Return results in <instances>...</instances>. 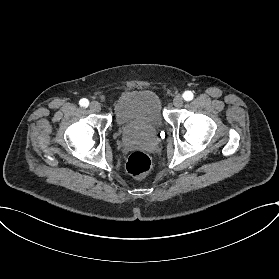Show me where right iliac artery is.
Returning <instances> with one entry per match:
<instances>
[{
  "label": "right iliac artery",
  "instance_id": "1",
  "mask_svg": "<svg viewBox=\"0 0 279 279\" xmlns=\"http://www.w3.org/2000/svg\"><path fill=\"white\" fill-rule=\"evenodd\" d=\"M80 106L87 107L89 105V101L86 98H83L79 101Z\"/></svg>",
  "mask_w": 279,
  "mask_h": 279
}]
</instances>
